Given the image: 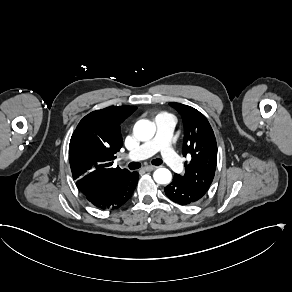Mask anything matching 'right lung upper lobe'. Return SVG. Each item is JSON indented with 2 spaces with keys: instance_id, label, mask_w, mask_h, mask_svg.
Listing matches in <instances>:
<instances>
[{
  "instance_id": "right-lung-upper-lobe-1",
  "label": "right lung upper lobe",
  "mask_w": 292,
  "mask_h": 292,
  "mask_svg": "<svg viewBox=\"0 0 292 292\" xmlns=\"http://www.w3.org/2000/svg\"><path fill=\"white\" fill-rule=\"evenodd\" d=\"M136 109L107 107L89 113L77 125L69 144V162L73 179L84 195L98 196L131 173L112 164L123 144L120 124Z\"/></svg>"
}]
</instances>
